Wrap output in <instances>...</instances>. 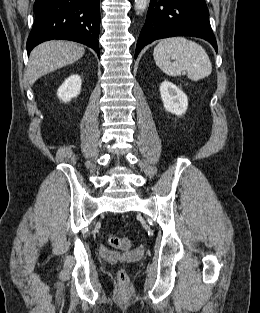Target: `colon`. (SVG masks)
Instances as JSON below:
<instances>
[{"label": "colon", "instance_id": "5ec220e1", "mask_svg": "<svg viewBox=\"0 0 260 313\" xmlns=\"http://www.w3.org/2000/svg\"><path fill=\"white\" fill-rule=\"evenodd\" d=\"M108 242L111 246L119 249H128L130 247V241L127 237H119L116 235H109ZM119 281L124 284L127 280L125 270L121 269L118 273Z\"/></svg>", "mask_w": 260, "mask_h": 313}]
</instances>
